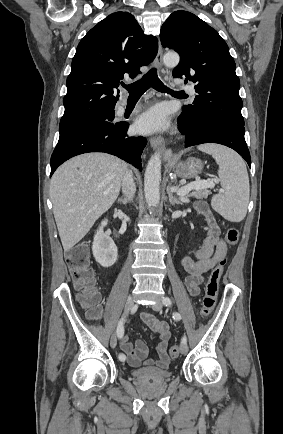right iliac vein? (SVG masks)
I'll list each match as a JSON object with an SVG mask.
<instances>
[{
	"mask_svg": "<svg viewBox=\"0 0 283 434\" xmlns=\"http://www.w3.org/2000/svg\"><path fill=\"white\" fill-rule=\"evenodd\" d=\"M133 307H134V300L132 296H129L124 307V315H127L133 309ZM116 345H117V338H116V334L114 333L110 339V346L111 348L114 349Z\"/></svg>",
	"mask_w": 283,
	"mask_h": 434,
	"instance_id": "63e3f726",
	"label": "right iliac vein"
}]
</instances>
